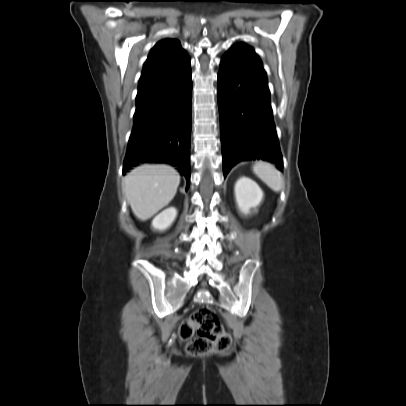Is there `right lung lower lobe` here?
<instances>
[{"label":"right lung lower lobe","instance_id":"98d812e1","mask_svg":"<svg viewBox=\"0 0 406 406\" xmlns=\"http://www.w3.org/2000/svg\"><path fill=\"white\" fill-rule=\"evenodd\" d=\"M192 72L190 66L171 81L137 94L134 125L123 174L139 163L178 167L190 182Z\"/></svg>","mask_w":406,"mask_h":406}]
</instances>
